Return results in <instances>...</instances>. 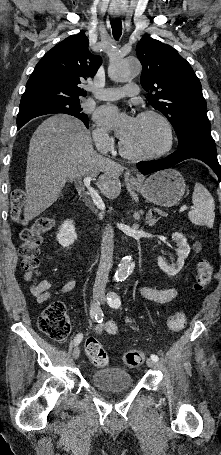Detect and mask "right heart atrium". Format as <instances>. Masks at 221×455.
I'll list each match as a JSON object with an SVG mask.
<instances>
[{
	"instance_id": "1",
	"label": "right heart atrium",
	"mask_w": 221,
	"mask_h": 455,
	"mask_svg": "<svg viewBox=\"0 0 221 455\" xmlns=\"http://www.w3.org/2000/svg\"><path fill=\"white\" fill-rule=\"evenodd\" d=\"M93 140L98 151L106 153L111 149L112 139L104 128L94 129Z\"/></svg>"
}]
</instances>
